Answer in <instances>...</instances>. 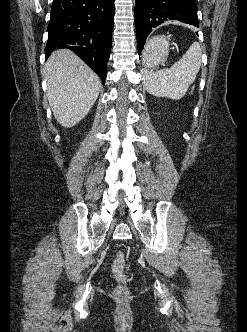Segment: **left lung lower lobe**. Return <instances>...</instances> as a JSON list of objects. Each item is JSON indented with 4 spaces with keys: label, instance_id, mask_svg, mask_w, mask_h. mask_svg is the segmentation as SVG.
I'll use <instances>...</instances> for the list:
<instances>
[{
    "label": "left lung lower lobe",
    "instance_id": "1",
    "mask_svg": "<svg viewBox=\"0 0 247 332\" xmlns=\"http://www.w3.org/2000/svg\"><path fill=\"white\" fill-rule=\"evenodd\" d=\"M169 20L199 27L196 0H136L135 22L139 54L153 28Z\"/></svg>",
    "mask_w": 247,
    "mask_h": 332
}]
</instances>
